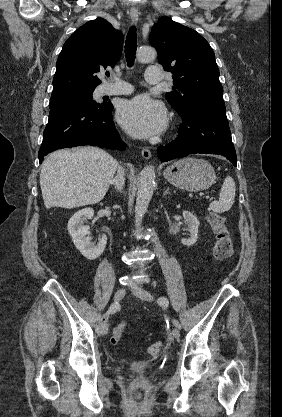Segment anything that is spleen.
<instances>
[{"label": "spleen", "instance_id": "3e777b00", "mask_svg": "<svg viewBox=\"0 0 282 417\" xmlns=\"http://www.w3.org/2000/svg\"><path fill=\"white\" fill-rule=\"evenodd\" d=\"M235 190L234 178L232 176H226L220 190L219 200L210 202V209L214 213H226V211H229L235 200Z\"/></svg>", "mask_w": 282, "mask_h": 417}]
</instances>
